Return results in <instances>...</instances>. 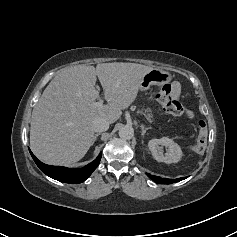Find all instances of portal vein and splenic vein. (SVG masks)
Masks as SVG:
<instances>
[{
	"label": "portal vein and splenic vein",
	"mask_w": 237,
	"mask_h": 237,
	"mask_svg": "<svg viewBox=\"0 0 237 237\" xmlns=\"http://www.w3.org/2000/svg\"><path fill=\"white\" fill-rule=\"evenodd\" d=\"M103 105V100H100V101H98V102H94V106L95 107H100V106H102Z\"/></svg>",
	"instance_id": "portal-vein-and-splenic-vein-1"
}]
</instances>
